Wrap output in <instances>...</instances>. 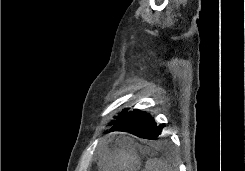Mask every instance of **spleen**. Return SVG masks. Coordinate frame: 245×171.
Listing matches in <instances>:
<instances>
[{
    "label": "spleen",
    "mask_w": 245,
    "mask_h": 171,
    "mask_svg": "<svg viewBox=\"0 0 245 171\" xmlns=\"http://www.w3.org/2000/svg\"><path fill=\"white\" fill-rule=\"evenodd\" d=\"M142 171H172V170L165 160L153 158L147 160L145 164V168Z\"/></svg>",
    "instance_id": "3e777b00"
}]
</instances>
